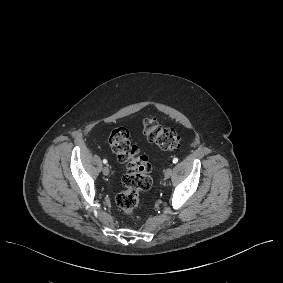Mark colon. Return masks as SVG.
Returning a JSON list of instances; mask_svg holds the SVG:
<instances>
[{
	"mask_svg": "<svg viewBox=\"0 0 283 283\" xmlns=\"http://www.w3.org/2000/svg\"><path fill=\"white\" fill-rule=\"evenodd\" d=\"M142 130L149 142L164 150H176L181 146L179 134L172 128L163 127L154 117L143 121ZM108 142L117 159L126 165L122 178L124 189L116 195L115 202L124 215L132 217L137 210L140 193L152 186L151 164L149 158L131 142L126 127L114 128Z\"/></svg>",
	"mask_w": 283,
	"mask_h": 283,
	"instance_id": "colon-1",
	"label": "colon"
}]
</instances>
